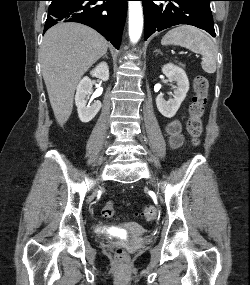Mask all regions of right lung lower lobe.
<instances>
[{
  "label": "right lung lower lobe",
  "mask_w": 250,
  "mask_h": 285,
  "mask_svg": "<svg viewBox=\"0 0 250 285\" xmlns=\"http://www.w3.org/2000/svg\"><path fill=\"white\" fill-rule=\"evenodd\" d=\"M44 32L60 21L79 22L98 31L119 49L128 0H51Z\"/></svg>",
  "instance_id": "98d812e1"
}]
</instances>
